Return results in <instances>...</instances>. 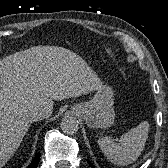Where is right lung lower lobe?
Returning <instances> with one entry per match:
<instances>
[{"label": "right lung lower lobe", "mask_w": 168, "mask_h": 168, "mask_svg": "<svg viewBox=\"0 0 168 168\" xmlns=\"http://www.w3.org/2000/svg\"><path fill=\"white\" fill-rule=\"evenodd\" d=\"M39 159H40V153H37L34 160L27 168H37V165L39 163Z\"/></svg>", "instance_id": "obj_1"}]
</instances>
